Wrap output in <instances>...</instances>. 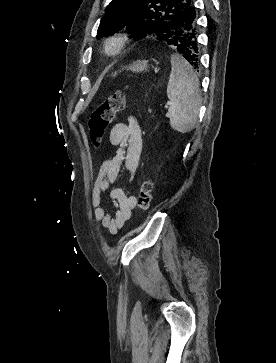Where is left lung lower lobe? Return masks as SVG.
<instances>
[{"label": "left lung lower lobe", "mask_w": 276, "mask_h": 363, "mask_svg": "<svg viewBox=\"0 0 276 363\" xmlns=\"http://www.w3.org/2000/svg\"><path fill=\"white\" fill-rule=\"evenodd\" d=\"M166 43L188 61L193 71L199 69L196 12L193 6L186 8L176 19L172 32L163 37Z\"/></svg>", "instance_id": "1"}]
</instances>
